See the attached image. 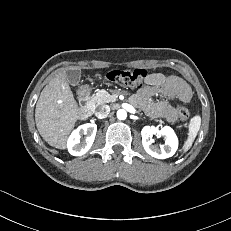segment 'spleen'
<instances>
[{
	"label": "spleen",
	"mask_w": 231,
	"mask_h": 231,
	"mask_svg": "<svg viewBox=\"0 0 231 231\" xmlns=\"http://www.w3.org/2000/svg\"><path fill=\"white\" fill-rule=\"evenodd\" d=\"M201 125V117L199 115L194 116L191 118L190 123L188 125V137L183 145V151H187L193 144L197 133L200 129Z\"/></svg>",
	"instance_id": "3e777b00"
}]
</instances>
